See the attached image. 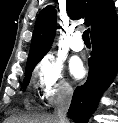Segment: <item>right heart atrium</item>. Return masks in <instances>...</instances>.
Wrapping results in <instances>:
<instances>
[{
    "label": "right heart atrium",
    "instance_id": "d8ad5b80",
    "mask_svg": "<svg viewBox=\"0 0 118 123\" xmlns=\"http://www.w3.org/2000/svg\"><path fill=\"white\" fill-rule=\"evenodd\" d=\"M33 79L39 96L51 106L72 92L64 76L62 65L51 55L44 56L33 70Z\"/></svg>",
    "mask_w": 118,
    "mask_h": 123
}]
</instances>
